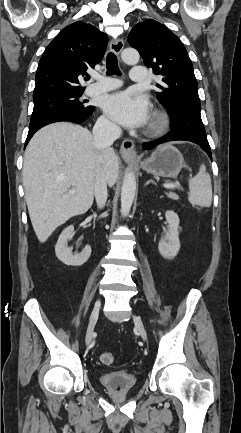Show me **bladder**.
<instances>
[{"instance_id":"31cf9c89","label":"bladder","mask_w":241,"mask_h":433,"mask_svg":"<svg viewBox=\"0 0 241 433\" xmlns=\"http://www.w3.org/2000/svg\"><path fill=\"white\" fill-rule=\"evenodd\" d=\"M99 381L106 389L113 392H126L136 386V378L126 371H111L99 376Z\"/></svg>"}]
</instances>
